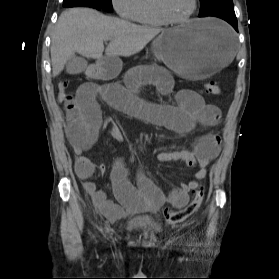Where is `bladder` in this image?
I'll list each match as a JSON object with an SVG mask.
<instances>
[{
  "instance_id": "31cf9c89",
  "label": "bladder",
  "mask_w": 279,
  "mask_h": 279,
  "mask_svg": "<svg viewBox=\"0 0 279 279\" xmlns=\"http://www.w3.org/2000/svg\"><path fill=\"white\" fill-rule=\"evenodd\" d=\"M126 229L128 231H139V230H159L160 224L152 217H135L126 223Z\"/></svg>"
}]
</instances>
